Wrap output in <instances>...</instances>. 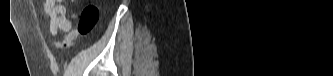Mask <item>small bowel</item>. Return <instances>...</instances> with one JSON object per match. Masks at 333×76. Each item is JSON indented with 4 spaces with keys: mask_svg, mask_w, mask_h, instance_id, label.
I'll use <instances>...</instances> for the list:
<instances>
[{
    "mask_svg": "<svg viewBox=\"0 0 333 76\" xmlns=\"http://www.w3.org/2000/svg\"><path fill=\"white\" fill-rule=\"evenodd\" d=\"M44 10L50 20V32L52 35L66 33L71 30L72 23L67 15L65 1L46 0Z\"/></svg>",
    "mask_w": 333,
    "mask_h": 76,
    "instance_id": "c3829d8e",
    "label": "small bowel"
}]
</instances>
